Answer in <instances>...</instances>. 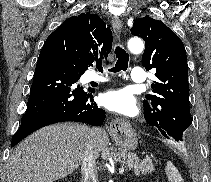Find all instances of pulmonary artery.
<instances>
[{"mask_svg": "<svg viewBox=\"0 0 211 182\" xmlns=\"http://www.w3.org/2000/svg\"><path fill=\"white\" fill-rule=\"evenodd\" d=\"M131 78L134 82L137 83H144L146 79V74L143 68L141 67H134L131 72ZM91 80L102 82L105 80L104 76H99L97 74H92L90 77Z\"/></svg>", "mask_w": 211, "mask_h": 182, "instance_id": "obj_1", "label": "pulmonary artery"}]
</instances>
